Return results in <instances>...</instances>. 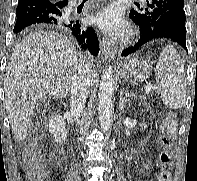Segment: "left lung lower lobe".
Masks as SVG:
<instances>
[{
    "mask_svg": "<svg viewBox=\"0 0 197 181\" xmlns=\"http://www.w3.org/2000/svg\"><path fill=\"white\" fill-rule=\"evenodd\" d=\"M185 20L184 9H175L162 14L150 30L140 28V39L134 46L123 50L122 56H128L147 42L158 38L170 39L187 51Z\"/></svg>",
    "mask_w": 197,
    "mask_h": 181,
    "instance_id": "0a47b994",
    "label": "left lung lower lobe"
}]
</instances>
